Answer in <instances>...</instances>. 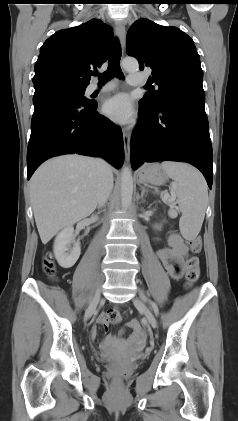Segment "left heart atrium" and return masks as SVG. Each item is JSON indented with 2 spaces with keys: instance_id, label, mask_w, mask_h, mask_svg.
<instances>
[{
  "instance_id": "left-heart-atrium-1",
  "label": "left heart atrium",
  "mask_w": 238,
  "mask_h": 421,
  "mask_svg": "<svg viewBox=\"0 0 238 421\" xmlns=\"http://www.w3.org/2000/svg\"><path fill=\"white\" fill-rule=\"evenodd\" d=\"M104 114L119 123H127L133 117L132 105L124 94H117L107 99L103 104Z\"/></svg>"
}]
</instances>
